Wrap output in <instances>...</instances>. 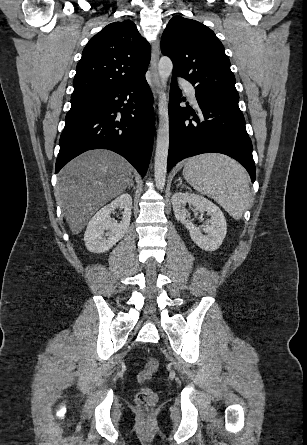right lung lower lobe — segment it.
<instances>
[{"label": "right lung lower lobe", "instance_id": "right-lung-lower-lobe-1", "mask_svg": "<svg viewBox=\"0 0 307 445\" xmlns=\"http://www.w3.org/2000/svg\"><path fill=\"white\" fill-rule=\"evenodd\" d=\"M153 96L145 76L127 85L71 98L56 173L90 149H109L145 176L153 144Z\"/></svg>", "mask_w": 307, "mask_h": 445}]
</instances>
